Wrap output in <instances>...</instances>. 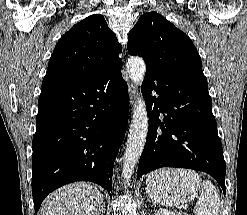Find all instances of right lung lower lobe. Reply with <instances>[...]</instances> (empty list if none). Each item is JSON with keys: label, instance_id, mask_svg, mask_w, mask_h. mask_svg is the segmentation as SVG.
<instances>
[{"label": "right lung lower lobe", "instance_id": "right-lung-lower-lobe-1", "mask_svg": "<svg viewBox=\"0 0 247 215\" xmlns=\"http://www.w3.org/2000/svg\"><path fill=\"white\" fill-rule=\"evenodd\" d=\"M121 69L116 64L83 81L44 77L32 142L35 213L50 192L75 181L95 182L112 197L129 115Z\"/></svg>", "mask_w": 247, "mask_h": 215}]
</instances>
